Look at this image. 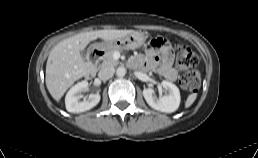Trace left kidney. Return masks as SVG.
<instances>
[{"mask_svg": "<svg viewBox=\"0 0 258 158\" xmlns=\"http://www.w3.org/2000/svg\"><path fill=\"white\" fill-rule=\"evenodd\" d=\"M161 85L168 92L167 95L157 98L152 89H144L143 96L151 108L161 112L172 113L180 105V91L175 84L166 80L162 81Z\"/></svg>", "mask_w": 258, "mask_h": 158, "instance_id": "1", "label": "left kidney"}]
</instances>
